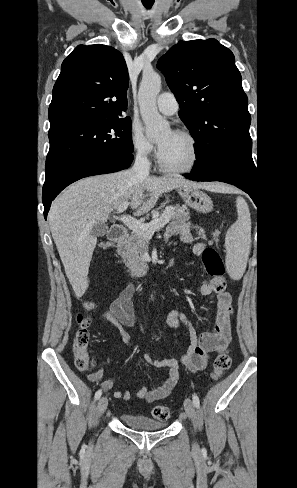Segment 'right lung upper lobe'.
Listing matches in <instances>:
<instances>
[{"label": "right lung upper lobe", "mask_w": 297, "mask_h": 488, "mask_svg": "<svg viewBox=\"0 0 297 488\" xmlns=\"http://www.w3.org/2000/svg\"><path fill=\"white\" fill-rule=\"evenodd\" d=\"M128 70L123 55L106 45L77 46L63 61L49 106V133L81 123L122 118Z\"/></svg>", "instance_id": "obj_1"}]
</instances>
